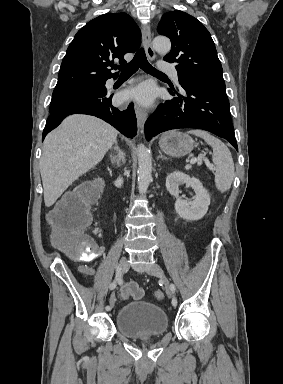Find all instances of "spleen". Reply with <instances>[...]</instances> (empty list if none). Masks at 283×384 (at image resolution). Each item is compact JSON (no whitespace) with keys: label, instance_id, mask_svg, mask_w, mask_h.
I'll list each match as a JSON object with an SVG mask.
<instances>
[{"label":"spleen","instance_id":"3e777b00","mask_svg":"<svg viewBox=\"0 0 283 384\" xmlns=\"http://www.w3.org/2000/svg\"><path fill=\"white\" fill-rule=\"evenodd\" d=\"M188 134L203 138L208 146L213 148L212 160L215 166V186L219 192H227L231 188L235 176L233 158L227 146L218 138H214V136H210L208 132H202V130H192Z\"/></svg>","mask_w":283,"mask_h":384}]
</instances>
